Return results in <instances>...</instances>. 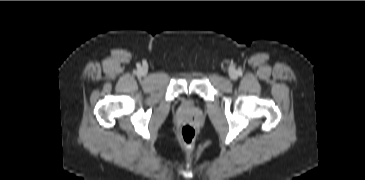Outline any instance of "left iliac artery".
<instances>
[{
	"mask_svg": "<svg viewBox=\"0 0 365 180\" xmlns=\"http://www.w3.org/2000/svg\"><path fill=\"white\" fill-rule=\"evenodd\" d=\"M238 74H239V75H242V71H241V70H239V71H238Z\"/></svg>",
	"mask_w": 365,
	"mask_h": 180,
	"instance_id": "1",
	"label": "left iliac artery"
}]
</instances>
